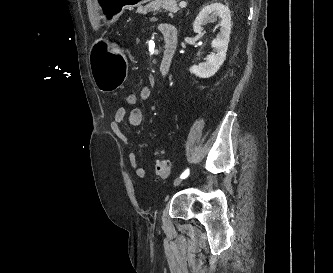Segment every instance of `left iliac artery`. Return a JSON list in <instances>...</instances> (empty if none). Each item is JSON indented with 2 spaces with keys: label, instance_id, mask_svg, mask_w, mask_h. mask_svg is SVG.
<instances>
[{
  "label": "left iliac artery",
  "instance_id": "obj_1",
  "mask_svg": "<svg viewBox=\"0 0 333 273\" xmlns=\"http://www.w3.org/2000/svg\"><path fill=\"white\" fill-rule=\"evenodd\" d=\"M189 174H190V170H189V168H187V169L181 174L180 178H181V179H185V178H187V177L189 176Z\"/></svg>",
  "mask_w": 333,
  "mask_h": 273
}]
</instances>
